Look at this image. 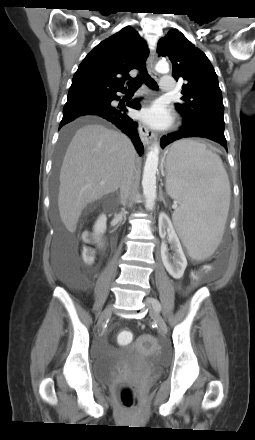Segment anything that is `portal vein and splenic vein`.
I'll list each match as a JSON object with an SVG mask.
<instances>
[{
  "mask_svg": "<svg viewBox=\"0 0 255 440\" xmlns=\"http://www.w3.org/2000/svg\"><path fill=\"white\" fill-rule=\"evenodd\" d=\"M173 207H174V208H177V204H174Z\"/></svg>",
  "mask_w": 255,
  "mask_h": 440,
  "instance_id": "portal-vein-and-splenic-vein-1",
  "label": "portal vein and splenic vein"
}]
</instances>
